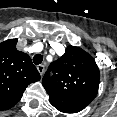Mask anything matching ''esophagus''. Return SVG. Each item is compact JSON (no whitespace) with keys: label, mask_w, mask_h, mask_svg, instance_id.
<instances>
[{"label":"esophagus","mask_w":117,"mask_h":117,"mask_svg":"<svg viewBox=\"0 0 117 117\" xmlns=\"http://www.w3.org/2000/svg\"><path fill=\"white\" fill-rule=\"evenodd\" d=\"M37 70L39 71V73L42 75L44 70H45V66L40 64L37 66Z\"/></svg>","instance_id":"1"}]
</instances>
